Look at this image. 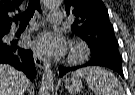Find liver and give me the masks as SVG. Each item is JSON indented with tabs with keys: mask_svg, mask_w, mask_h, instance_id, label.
I'll use <instances>...</instances> for the list:
<instances>
[{
	"mask_svg": "<svg viewBox=\"0 0 135 95\" xmlns=\"http://www.w3.org/2000/svg\"><path fill=\"white\" fill-rule=\"evenodd\" d=\"M29 80L12 66L0 64V95H24Z\"/></svg>",
	"mask_w": 135,
	"mask_h": 95,
	"instance_id": "1",
	"label": "liver"
}]
</instances>
